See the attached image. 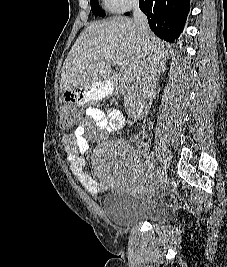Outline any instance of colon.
I'll list each match as a JSON object with an SVG mask.
<instances>
[{"label":"colon","mask_w":227,"mask_h":267,"mask_svg":"<svg viewBox=\"0 0 227 267\" xmlns=\"http://www.w3.org/2000/svg\"><path fill=\"white\" fill-rule=\"evenodd\" d=\"M71 105L76 104H66L61 112L62 130H69V127L74 124L76 119H82V114H76V110H71Z\"/></svg>","instance_id":"obj_1"}]
</instances>
